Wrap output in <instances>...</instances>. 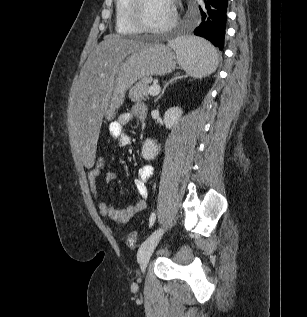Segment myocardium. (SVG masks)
<instances>
[{
  "instance_id": "myocardium-1",
  "label": "myocardium",
  "mask_w": 307,
  "mask_h": 317,
  "mask_svg": "<svg viewBox=\"0 0 307 317\" xmlns=\"http://www.w3.org/2000/svg\"><path fill=\"white\" fill-rule=\"evenodd\" d=\"M145 2V0H131V4L129 7L130 20L133 26L139 32H145L150 34H163L170 31L177 24L178 12L175 4H173L171 0L173 8L171 19L165 25L158 28L148 25L143 17V9Z\"/></svg>"
}]
</instances>
